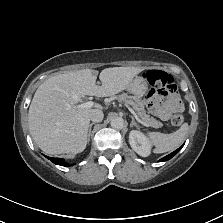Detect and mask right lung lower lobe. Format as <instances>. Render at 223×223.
I'll list each match as a JSON object with an SVG mask.
<instances>
[{"label":"right lung lower lobe","mask_w":223,"mask_h":223,"mask_svg":"<svg viewBox=\"0 0 223 223\" xmlns=\"http://www.w3.org/2000/svg\"><path fill=\"white\" fill-rule=\"evenodd\" d=\"M47 157V156H46ZM49 160H51L54 164H57V165H61V166H71L70 164L66 163L64 161V159H61V158H52V157H47Z\"/></svg>","instance_id":"right-lung-lower-lobe-1"}]
</instances>
